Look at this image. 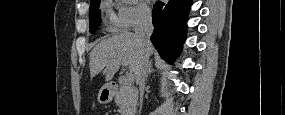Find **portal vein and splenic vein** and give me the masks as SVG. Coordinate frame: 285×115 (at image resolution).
<instances>
[{"label": "portal vein and splenic vein", "mask_w": 285, "mask_h": 115, "mask_svg": "<svg viewBox=\"0 0 285 115\" xmlns=\"http://www.w3.org/2000/svg\"><path fill=\"white\" fill-rule=\"evenodd\" d=\"M121 65H122V66H126V63H125V62H122ZM132 81H133V74L127 73L126 76H125V78L123 79V83H124L125 85H130V84L132 83Z\"/></svg>", "instance_id": "18ae733b"}]
</instances>
